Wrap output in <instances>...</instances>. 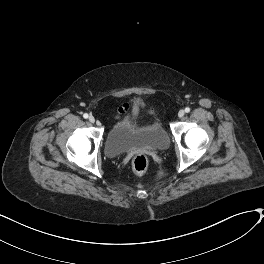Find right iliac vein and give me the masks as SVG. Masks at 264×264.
Returning a JSON list of instances; mask_svg holds the SVG:
<instances>
[{"instance_id":"right-iliac-vein-1","label":"right iliac vein","mask_w":264,"mask_h":264,"mask_svg":"<svg viewBox=\"0 0 264 264\" xmlns=\"http://www.w3.org/2000/svg\"><path fill=\"white\" fill-rule=\"evenodd\" d=\"M89 121H90L91 123H94V122H95V118H94L93 116H90V117H89Z\"/></svg>"}]
</instances>
